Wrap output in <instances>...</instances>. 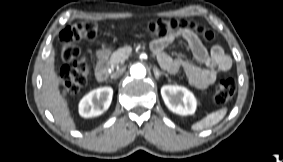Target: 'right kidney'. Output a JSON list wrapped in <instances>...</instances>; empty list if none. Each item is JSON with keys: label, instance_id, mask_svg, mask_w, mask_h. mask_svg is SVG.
Segmentation results:
<instances>
[{"label": "right kidney", "instance_id": "obj_1", "mask_svg": "<svg viewBox=\"0 0 283 162\" xmlns=\"http://www.w3.org/2000/svg\"><path fill=\"white\" fill-rule=\"evenodd\" d=\"M113 89L101 87L85 95L79 103V114L84 118L101 115L106 111L112 101Z\"/></svg>", "mask_w": 283, "mask_h": 162}]
</instances>
